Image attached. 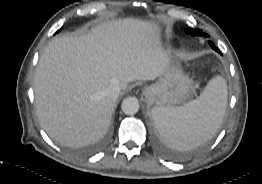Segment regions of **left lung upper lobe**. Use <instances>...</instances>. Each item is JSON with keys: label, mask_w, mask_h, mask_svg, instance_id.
Returning a JSON list of instances; mask_svg holds the SVG:
<instances>
[{"label": "left lung upper lobe", "mask_w": 262, "mask_h": 184, "mask_svg": "<svg viewBox=\"0 0 262 184\" xmlns=\"http://www.w3.org/2000/svg\"><path fill=\"white\" fill-rule=\"evenodd\" d=\"M187 33L188 34H191V35H193V36H202V35H204V36H207V37H209L206 33H203L201 30H199V29H188L187 30Z\"/></svg>", "instance_id": "1"}]
</instances>
